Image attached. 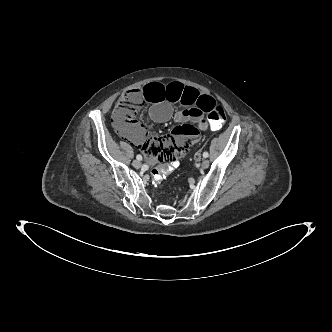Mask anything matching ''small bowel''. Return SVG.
Returning <instances> with one entry per match:
<instances>
[{
    "label": "small bowel",
    "instance_id": "c3829d8e",
    "mask_svg": "<svg viewBox=\"0 0 332 332\" xmlns=\"http://www.w3.org/2000/svg\"><path fill=\"white\" fill-rule=\"evenodd\" d=\"M141 102L154 121L162 123L173 119L180 123L172 133H165L160 137L146 134L139 123H134L130 128L119 129L115 126L121 136L144 151L150 165L159 161L167 162L171 157L180 161L186 150L197 147L201 140L200 130L209 128L204 114L215 104L210 95L177 81L166 85L159 81L148 82L143 88ZM174 104H180L184 108L174 111ZM195 158L198 160L200 155L196 154Z\"/></svg>",
    "mask_w": 332,
    "mask_h": 332
}]
</instances>
